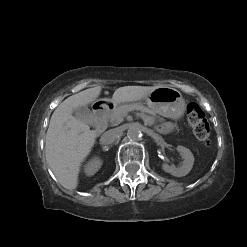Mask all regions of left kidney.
<instances>
[{
    "label": "left kidney",
    "mask_w": 247,
    "mask_h": 247,
    "mask_svg": "<svg viewBox=\"0 0 247 247\" xmlns=\"http://www.w3.org/2000/svg\"><path fill=\"white\" fill-rule=\"evenodd\" d=\"M177 151L180 153L181 157L184 159L182 166L177 168L175 166H170L164 163L162 165V169L165 172L170 173L171 175L175 177L186 176L193 167L194 156L188 148H185L183 146H178Z\"/></svg>",
    "instance_id": "left-kidney-1"
}]
</instances>
